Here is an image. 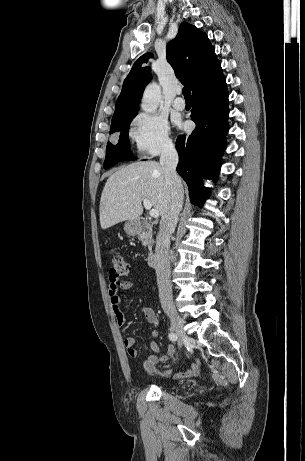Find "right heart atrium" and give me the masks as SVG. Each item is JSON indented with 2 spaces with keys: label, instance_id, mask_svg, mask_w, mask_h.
Instances as JSON below:
<instances>
[{
  "label": "right heart atrium",
  "instance_id": "d8ad5b80",
  "mask_svg": "<svg viewBox=\"0 0 305 461\" xmlns=\"http://www.w3.org/2000/svg\"><path fill=\"white\" fill-rule=\"evenodd\" d=\"M130 135L141 156H156L173 149L168 121L152 113L138 114L131 123Z\"/></svg>",
  "mask_w": 305,
  "mask_h": 461
}]
</instances>
